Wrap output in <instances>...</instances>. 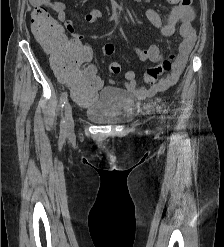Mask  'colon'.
I'll return each mask as SVG.
<instances>
[{"mask_svg":"<svg viewBox=\"0 0 224 247\" xmlns=\"http://www.w3.org/2000/svg\"><path fill=\"white\" fill-rule=\"evenodd\" d=\"M31 29L36 40L53 55L52 68L71 89L75 101L84 106L92 103L97 96L99 76L92 59V49L80 42L68 39L61 26L49 15L43 7L36 8L32 13ZM114 46L107 44L103 54L111 58ZM174 55L164 59L159 65L151 67L146 72V80L154 82L158 75L170 71ZM109 70L113 75L121 73L117 61H111Z\"/></svg>","mask_w":224,"mask_h":247,"instance_id":"1","label":"colon"}]
</instances>
